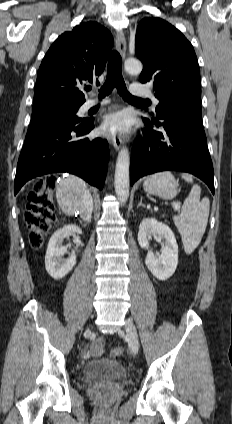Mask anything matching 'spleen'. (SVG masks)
Wrapping results in <instances>:
<instances>
[{
  "mask_svg": "<svg viewBox=\"0 0 232 424\" xmlns=\"http://www.w3.org/2000/svg\"><path fill=\"white\" fill-rule=\"evenodd\" d=\"M181 177L193 183L191 175L182 174ZM201 188L197 184L185 199L181 212L174 216V223L181 235L186 254H191L199 245L207 227L210 202L208 198L200 200Z\"/></svg>",
  "mask_w": 232,
  "mask_h": 424,
  "instance_id": "3e777b00",
  "label": "spleen"
}]
</instances>
